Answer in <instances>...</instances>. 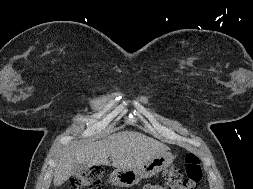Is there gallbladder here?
Wrapping results in <instances>:
<instances>
[{"label": "gallbladder", "instance_id": "1", "mask_svg": "<svg viewBox=\"0 0 253 189\" xmlns=\"http://www.w3.org/2000/svg\"><path fill=\"white\" fill-rule=\"evenodd\" d=\"M89 170V167L86 164L83 163H78L75 164L72 170V175L73 176H79L83 173H86Z\"/></svg>", "mask_w": 253, "mask_h": 189}]
</instances>
